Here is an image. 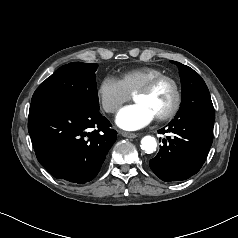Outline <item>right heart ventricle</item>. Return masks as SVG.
Returning a JSON list of instances; mask_svg holds the SVG:
<instances>
[{
	"instance_id": "e07e8e85",
	"label": "right heart ventricle",
	"mask_w": 238,
	"mask_h": 238,
	"mask_svg": "<svg viewBox=\"0 0 238 238\" xmlns=\"http://www.w3.org/2000/svg\"><path fill=\"white\" fill-rule=\"evenodd\" d=\"M164 74V71L158 67L141 66L123 72L120 75L119 81L125 91L131 95L152 78Z\"/></svg>"
}]
</instances>
